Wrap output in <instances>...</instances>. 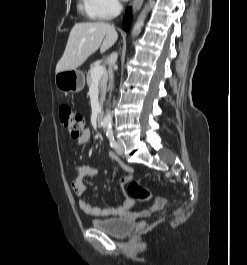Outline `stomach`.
<instances>
[{"instance_id":"0dacf381","label":"stomach","mask_w":247,"mask_h":265,"mask_svg":"<svg viewBox=\"0 0 247 265\" xmlns=\"http://www.w3.org/2000/svg\"><path fill=\"white\" fill-rule=\"evenodd\" d=\"M55 85L61 92L77 93L85 86L84 73L78 69L58 72L55 75Z\"/></svg>"}]
</instances>
